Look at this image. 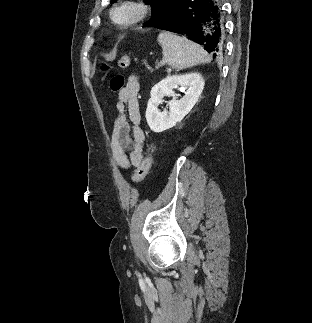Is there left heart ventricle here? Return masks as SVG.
<instances>
[{
	"label": "left heart ventricle",
	"instance_id": "1",
	"mask_svg": "<svg viewBox=\"0 0 312 323\" xmlns=\"http://www.w3.org/2000/svg\"><path fill=\"white\" fill-rule=\"evenodd\" d=\"M118 13L119 14H135L136 8L135 7H119Z\"/></svg>",
	"mask_w": 312,
	"mask_h": 323
}]
</instances>
